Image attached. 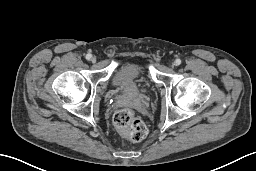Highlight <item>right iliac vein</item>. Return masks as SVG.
I'll use <instances>...</instances> for the list:
<instances>
[{"mask_svg": "<svg viewBox=\"0 0 256 171\" xmlns=\"http://www.w3.org/2000/svg\"><path fill=\"white\" fill-rule=\"evenodd\" d=\"M91 62H92V63H95V62H96V58H95V57H92V58H91Z\"/></svg>", "mask_w": 256, "mask_h": 171, "instance_id": "1", "label": "right iliac vein"}]
</instances>
